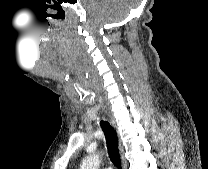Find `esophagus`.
<instances>
[{
	"label": "esophagus",
	"mask_w": 208,
	"mask_h": 169,
	"mask_svg": "<svg viewBox=\"0 0 208 169\" xmlns=\"http://www.w3.org/2000/svg\"><path fill=\"white\" fill-rule=\"evenodd\" d=\"M123 169H126V165L124 164Z\"/></svg>",
	"instance_id": "1"
}]
</instances>
